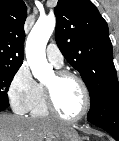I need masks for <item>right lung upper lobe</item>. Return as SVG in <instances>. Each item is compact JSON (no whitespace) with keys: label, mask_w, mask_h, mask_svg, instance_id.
I'll use <instances>...</instances> for the list:
<instances>
[{"label":"right lung upper lobe","mask_w":119,"mask_h":141,"mask_svg":"<svg viewBox=\"0 0 119 141\" xmlns=\"http://www.w3.org/2000/svg\"><path fill=\"white\" fill-rule=\"evenodd\" d=\"M26 16L22 0H0V67L22 65Z\"/></svg>","instance_id":"right-lung-upper-lobe-1"}]
</instances>
